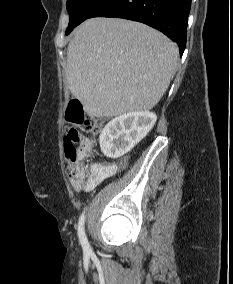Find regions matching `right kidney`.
<instances>
[{
    "label": "right kidney",
    "instance_id": "1",
    "mask_svg": "<svg viewBox=\"0 0 233 284\" xmlns=\"http://www.w3.org/2000/svg\"><path fill=\"white\" fill-rule=\"evenodd\" d=\"M156 120V114L149 111L130 112L112 119L101 132V151L110 158L125 155L148 134Z\"/></svg>",
    "mask_w": 233,
    "mask_h": 284
}]
</instances>
